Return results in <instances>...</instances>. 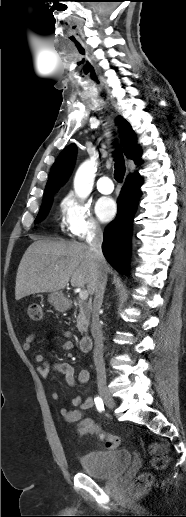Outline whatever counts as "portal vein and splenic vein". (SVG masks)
Instances as JSON below:
<instances>
[{"label": "portal vein and splenic vein", "mask_w": 186, "mask_h": 517, "mask_svg": "<svg viewBox=\"0 0 186 517\" xmlns=\"http://www.w3.org/2000/svg\"><path fill=\"white\" fill-rule=\"evenodd\" d=\"M88 291L87 290H81L79 292V297L81 300H86L88 298Z\"/></svg>", "instance_id": "1"}]
</instances>
